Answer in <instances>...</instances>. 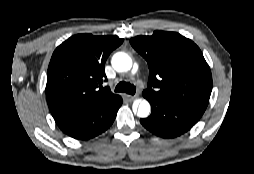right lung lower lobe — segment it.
Masks as SVG:
<instances>
[{"instance_id": "obj_1", "label": "right lung lower lobe", "mask_w": 254, "mask_h": 174, "mask_svg": "<svg viewBox=\"0 0 254 174\" xmlns=\"http://www.w3.org/2000/svg\"><path fill=\"white\" fill-rule=\"evenodd\" d=\"M122 98L84 102L54 118L58 127L70 137L87 140L107 130L116 117Z\"/></svg>"}]
</instances>
